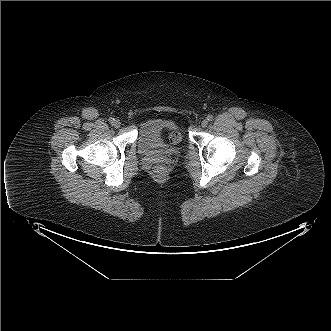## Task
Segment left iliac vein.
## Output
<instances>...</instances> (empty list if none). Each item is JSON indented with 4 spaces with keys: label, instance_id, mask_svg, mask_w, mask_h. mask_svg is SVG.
I'll list each match as a JSON object with an SVG mask.
<instances>
[{
    "label": "left iliac vein",
    "instance_id": "left-iliac-vein-1",
    "mask_svg": "<svg viewBox=\"0 0 331 331\" xmlns=\"http://www.w3.org/2000/svg\"><path fill=\"white\" fill-rule=\"evenodd\" d=\"M208 125V120L204 119L202 122H201V126L202 127H206Z\"/></svg>",
    "mask_w": 331,
    "mask_h": 331
}]
</instances>
